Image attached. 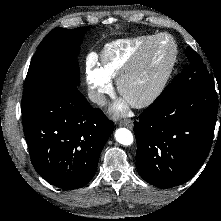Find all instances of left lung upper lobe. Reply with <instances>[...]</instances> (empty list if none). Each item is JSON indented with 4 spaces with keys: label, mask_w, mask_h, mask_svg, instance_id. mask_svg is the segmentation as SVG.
Wrapping results in <instances>:
<instances>
[{
    "label": "left lung upper lobe",
    "mask_w": 221,
    "mask_h": 221,
    "mask_svg": "<svg viewBox=\"0 0 221 221\" xmlns=\"http://www.w3.org/2000/svg\"><path fill=\"white\" fill-rule=\"evenodd\" d=\"M186 55L189 64L183 68L180 74L174 77L172 82L164 89V93H170L178 88H185L196 81L213 83V78L202 58L190 47L186 48Z\"/></svg>",
    "instance_id": "obj_1"
}]
</instances>
